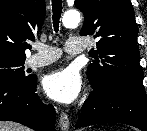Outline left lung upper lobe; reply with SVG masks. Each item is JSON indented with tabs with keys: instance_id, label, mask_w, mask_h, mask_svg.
Listing matches in <instances>:
<instances>
[{
	"instance_id": "1",
	"label": "left lung upper lobe",
	"mask_w": 147,
	"mask_h": 131,
	"mask_svg": "<svg viewBox=\"0 0 147 131\" xmlns=\"http://www.w3.org/2000/svg\"><path fill=\"white\" fill-rule=\"evenodd\" d=\"M84 14L81 36L99 38L87 76L93 88L108 90L126 84L144 89L143 70L139 64L138 27L130 0H75Z\"/></svg>"
}]
</instances>
